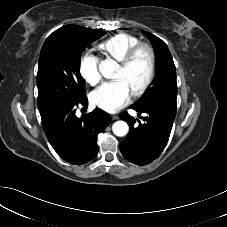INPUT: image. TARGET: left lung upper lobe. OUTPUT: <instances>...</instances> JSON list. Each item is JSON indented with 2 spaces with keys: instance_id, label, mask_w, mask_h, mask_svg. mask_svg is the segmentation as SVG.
<instances>
[{
  "instance_id": "left-lung-upper-lobe-1",
  "label": "left lung upper lobe",
  "mask_w": 227,
  "mask_h": 227,
  "mask_svg": "<svg viewBox=\"0 0 227 227\" xmlns=\"http://www.w3.org/2000/svg\"><path fill=\"white\" fill-rule=\"evenodd\" d=\"M150 40L156 56V77L152 87L129 108L142 109L150 105H160L176 110L177 83L176 70L167 45L155 35L143 31Z\"/></svg>"
}]
</instances>
